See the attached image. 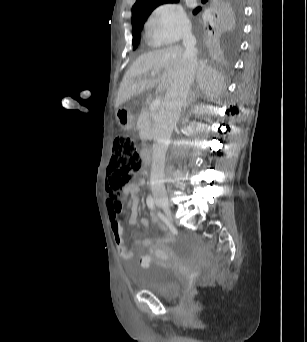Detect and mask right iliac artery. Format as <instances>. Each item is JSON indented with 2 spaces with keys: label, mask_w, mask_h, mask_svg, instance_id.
<instances>
[{
  "label": "right iliac artery",
  "mask_w": 307,
  "mask_h": 342,
  "mask_svg": "<svg viewBox=\"0 0 307 342\" xmlns=\"http://www.w3.org/2000/svg\"><path fill=\"white\" fill-rule=\"evenodd\" d=\"M146 203H147V205H148V207H149L150 209H152V210L155 209V206H154V199H153V197H152L151 195H149V196L147 197Z\"/></svg>",
  "instance_id": "1"
}]
</instances>
